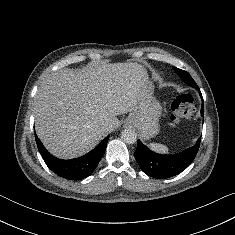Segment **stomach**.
<instances>
[{
	"label": "stomach",
	"instance_id": "0dacf381",
	"mask_svg": "<svg viewBox=\"0 0 235 235\" xmlns=\"http://www.w3.org/2000/svg\"><path fill=\"white\" fill-rule=\"evenodd\" d=\"M153 89L152 83L146 79L134 112L124 122L126 126H134L145 140L158 134L162 115V106L153 96Z\"/></svg>",
	"mask_w": 235,
	"mask_h": 235
}]
</instances>
